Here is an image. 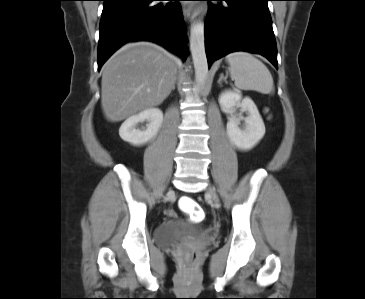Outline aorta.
Returning <instances> with one entry per match:
<instances>
[{"instance_id": "1", "label": "aorta", "mask_w": 365, "mask_h": 299, "mask_svg": "<svg viewBox=\"0 0 365 299\" xmlns=\"http://www.w3.org/2000/svg\"><path fill=\"white\" fill-rule=\"evenodd\" d=\"M196 16V14H195ZM190 50L195 69V83L202 88L208 77V62L205 52L204 22L202 18H195L190 29Z\"/></svg>"}]
</instances>
